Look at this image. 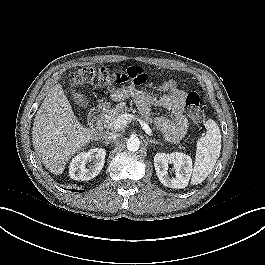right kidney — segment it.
Here are the masks:
<instances>
[{
  "label": "right kidney",
  "instance_id": "ca27d5eb",
  "mask_svg": "<svg viewBox=\"0 0 265 265\" xmlns=\"http://www.w3.org/2000/svg\"><path fill=\"white\" fill-rule=\"evenodd\" d=\"M106 150L94 148L81 152L72 159L69 166V176L74 180L87 181L97 176L105 163ZM93 160L92 165H87Z\"/></svg>",
  "mask_w": 265,
  "mask_h": 265
}]
</instances>
